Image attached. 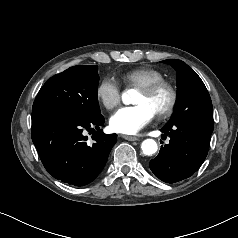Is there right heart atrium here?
I'll use <instances>...</instances> for the list:
<instances>
[{"mask_svg":"<svg viewBox=\"0 0 238 238\" xmlns=\"http://www.w3.org/2000/svg\"><path fill=\"white\" fill-rule=\"evenodd\" d=\"M96 96L105 108L113 109L121 101V87L114 78L105 77L97 86Z\"/></svg>","mask_w":238,"mask_h":238,"instance_id":"obj_1","label":"right heart atrium"}]
</instances>
